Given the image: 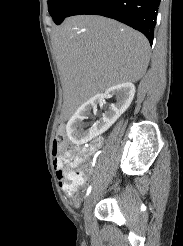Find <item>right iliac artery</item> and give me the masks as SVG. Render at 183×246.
<instances>
[{
	"label": "right iliac artery",
	"instance_id": "right-iliac-artery-1",
	"mask_svg": "<svg viewBox=\"0 0 183 246\" xmlns=\"http://www.w3.org/2000/svg\"><path fill=\"white\" fill-rule=\"evenodd\" d=\"M91 189H92V186L90 185V186L88 187V189H87L86 196H88V195L90 194Z\"/></svg>",
	"mask_w": 183,
	"mask_h": 246
}]
</instances>
